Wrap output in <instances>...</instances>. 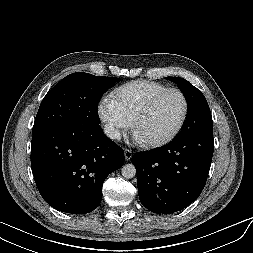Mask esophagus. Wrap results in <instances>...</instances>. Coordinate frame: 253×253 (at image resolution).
I'll use <instances>...</instances> for the list:
<instances>
[{
  "label": "esophagus",
  "instance_id": "34e87169",
  "mask_svg": "<svg viewBox=\"0 0 253 253\" xmlns=\"http://www.w3.org/2000/svg\"><path fill=\"white\" fill-rule=\"evenodd\" d=\"M124 154H125L126 161H129L133 155L132 150H130V149H125Z\"/></svg>",
  "mask_w": 253,
  "mask_h": 253
}]
</instances>
